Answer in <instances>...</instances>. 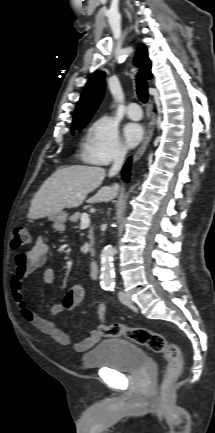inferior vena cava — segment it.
<instances>
[{
	"mask_svg": "<svg viewBox=\"0 0 215 433\" xmlns=\"http://www.w3.org/2000/svg\"><path fill=\"white\" fill-rule=\"evenodd\" d=\"M124 157H125V151L124 150L119 149L116 151V153L114 155L113 165L109 171L110 177L116 175L120 171V169L122 168L123 162H124Z\"/></svg>",
	"mask_w": 215,
	"mask_h": 433,
	"instance_id": "obj_1",
	"label": "inferior vena cava"
}]
</instances>
